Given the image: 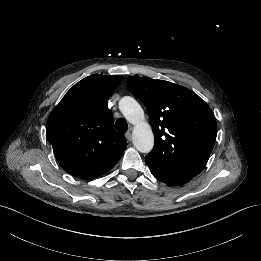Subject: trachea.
Instances as JSON below:
<instances>
[{
	"mask_svg": "<svg viewBox=\"0 0 261 261\" xmlns=\"http://www.w3.org/2000/svg\"><path fill=\"white\" fill-rule=\"evenodd\" d=\"M115 128L121 132L125 133L128 130V124L124 118H119L115 122Z\"/></svg>",
	"mask_w": 261,
	"mask_h": 261,
	"instance_id": "1",
	"label": "trachea"
}]
</instances>
